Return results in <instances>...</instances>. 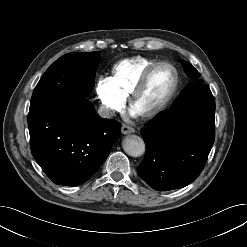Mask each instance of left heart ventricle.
<instances>
[{"label": "left heart ventricle", "instance_id": "obj_1", "mask_svg": "<svg viewBox=\"0 0 247 247\" xmlns=\"http://www.w3.org/2000/svg\"><path fill=\"white\" fill-rule=\"evenodd\" d=\"M174 82V72L167 66H159L151 74L141 94L135 99L132 110L142 115L156 108L168 95Z\"/></svg>", "mask_w": 247, "mask_h": 247}]
</instances>
